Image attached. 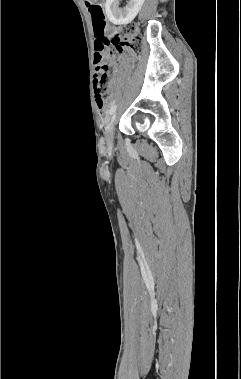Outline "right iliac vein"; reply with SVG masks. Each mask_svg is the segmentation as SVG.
Masks as SVG:
<instances>
[{
  "label": "right iliac vein",
  "instance_id": "obj_1",
  "mask_svg": "<svg viewBox=\"0 0 241 379\" xmlns=\"http://www.w3.org/2000/svg\"><path fill=\"white\" fill-rule=\"evenodd\" d=\"M116 119V113H113L110 123L108 124L105 132L106 141L111 144L113 141V135H114V122Z\"/></svg>",
  "mask_w": 241,
  "mask_h": 379
}]
</instances>
